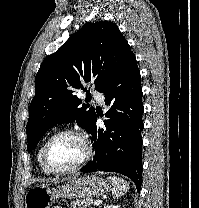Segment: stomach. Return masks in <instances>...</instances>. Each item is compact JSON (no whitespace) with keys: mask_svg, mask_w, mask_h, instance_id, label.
Returning <instances> with one entry per match:
<instances>
[{"mask_svg":"<svg viewBox=\"0 0 199 208\" xmlns=\"http://www.w3.org/2000/svg\"><path fill=\"white\" fill-rule=\"evenodd\" d=\"M109 189L107 181L96 175L69 179L64 185L57 188L37 185L26 193L25 208H50L52 203L59 198L90 199L107 193Z\"/></svg>","mask_w":199,"mask_h":208,"instance_id":"stomach-1","label":"stomach"}]
</instances>
